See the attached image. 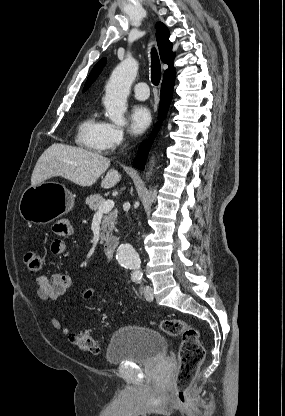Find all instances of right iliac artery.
<instances>
[{
  "label": "right iliac artery",
  "instance_id": "right-iliac-artery-1",
  "mask_svg": "<svg viewBox=\"0 0 285 416\" xmlns=\"http://www.w3.org/2000/svg\"><path fill=\"white\" fill-rule=\"evenodd\" d=\"M142 275L140 273H133L132 274V279L133 281H139L141 279Z\"/></svg>",
  "mask_w": 285,
  "mask_h": 416
}]
</instances>
